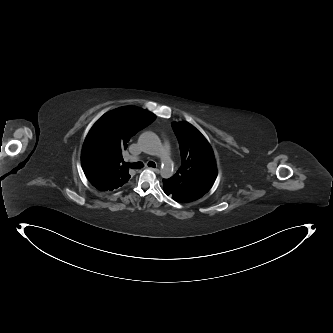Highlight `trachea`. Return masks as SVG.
<instances>
[{
	"label": "trachea",
	"instance_id": "3493384b",
	"mask_svg": "<svg viewBox=\"0 0 333 333\" xmlns=\"http://www.w3.org/2000/svg\"><path fill=\"white\" fill-rule=\"evenodd\" d=\"M124 166L132 168V169H139V168H142L144 166V164L142 162L124 163ZM148 166L155 168L156 164L153 161H149Z\"/></svg>",
	"mask_w": 333,
	"mask_h": 333
}]
</instances>
